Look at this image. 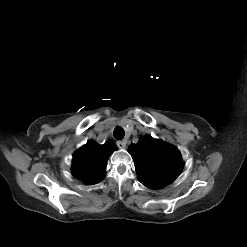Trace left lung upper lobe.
I'll return each mask as SVG.
<instances>
[{
	"instance_id": "obj_1",
	"label": "left lung upper lobe",
	"mask_w": 247,
	"mask_h": 247,
	"mask_svg": "<svg viewBox=\"0 0 247 247\" xmlns=\"http://www.w3.org/2000/svg\"><path fill=\"white\" fill-rule=\"evenodd\" d=\"M128 151L140 182L148 188L159 189L170 184L184 166L176 147L151 136L141 137L137 144L129 146Z\"/></svg>"
}]
</instances>
